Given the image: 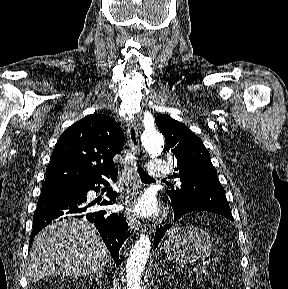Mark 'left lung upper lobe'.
<instances>
[{"label": "left lung upper lobe", "mask_w": 288, "mask_h": 289, "mask_svg": "<svg viewBox=\"0 0 288 289\" xmlns=\"http://www.w3.org/2000/svg\"><path fill=\"white\" fill-rule=\"evenodd\" d=\"M155 122L165 137L166 150L177 164L171 178L181 182L177 186L171 184L172 189L167 190L172 205L212 211L233 220L224 188L202 140L185 124L167 115L155 117Z\"/></svg>", "instance_id": "5c2ea615"}]
</instances>
